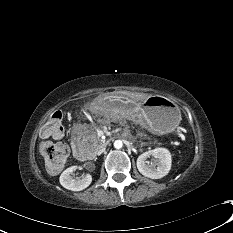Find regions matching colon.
I'll list each match as a JSON object with an SVG mask.
<instances>
[{
	"label": "colon",
	"mask_w": 233,
	"mask_h": 233,
	"mask_svg": "<svg viewBox=\"0 0 233 233\" xmlns=\"http://www.w3.org/2000/svg\"><path fill=\"white\" fill-rule=\"evenodd\" d=\"M63 113L59 110L53 112L42 128L44 137H53L62 132ZM41 154L46 167L51 172L60 171L68 157V147L63 142L44 141L40 146Z\"/></svg>",
	"instance_id": "5ec220e1"
}]
</instances>
